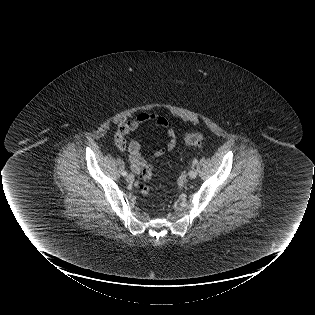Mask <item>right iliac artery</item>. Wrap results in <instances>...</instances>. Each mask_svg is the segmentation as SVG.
Returning a JSON list of instances; mask_svg holds the SVG:
<instances>
[{
	"instance_id": "obj_1",
	"label": "right iliac artery",
	"mask_w": 315,
	"mask_h": 315,
	"mask_svg": "<svg viewBox=\"0 0 315 315\" xmlns=\"http://www.w3.org/2000/svg\"><path fill=\"white\" fill-rule=\"evenodd\" d=\"M122 175H123V176H126V175H127V172H126L125 170H123V171H122Z\"/></svg>"
}]
</instances>
